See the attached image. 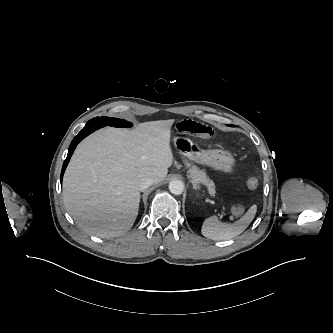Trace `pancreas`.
Returning a JSON list of instances; mask_svg holds the SVG:
<instances>
[{"label":"pancreas","instance_id":"cf45deb5","mask_svg":"<svg viewBox=\"0 0 333 333\" xmlns=\"http://www.w3.org/2000/svg\"><path fill=\"white\" fill-rule=\"evenodd\" d=\"M189 166V164H187ZM189 177L191 178V181L195 184L203 183L207 186L208 192L211 196L215 195V185L212 180H210L206 173L203 170H200L199 168L192 166L189 170Z\"/></svg>","mask_w":333,"mask_h":333}]
</instances>
